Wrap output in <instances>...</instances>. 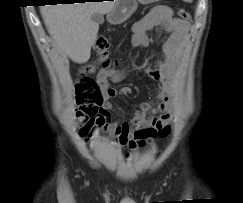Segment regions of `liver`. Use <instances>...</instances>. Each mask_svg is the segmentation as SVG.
I'll return each mask as SVG.
<instances>
[{
  "mask_svg": "<svg viewBox=\"0 0 243 203\" xmlns=\"http://www.w3.org/2000/svg\"><path fill=\"white\" fill-rule=\"evenodd\" d=\"M115 1L44 5L41 14L49 34L75 63L90 59L99 25L91 19L94 13L110 12Z\"/></svg>",
  "mask_w": 243,
  "mask_h": 203,
  "instance_id": "6515ba94",
  "label": "liver"
}]
</instances>
